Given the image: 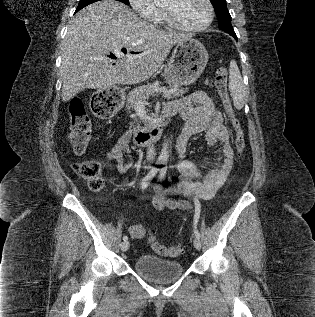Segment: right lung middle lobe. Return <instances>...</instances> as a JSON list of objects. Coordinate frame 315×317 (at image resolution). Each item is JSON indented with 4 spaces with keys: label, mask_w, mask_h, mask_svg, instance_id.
Segmentation results:
<instances>
[{
    "label": "right lung middle lobe",
    "mask_w": 315,
    "mask_h": 317,
    "mask_svg": "<svg viewBox=\"0 0 315 317\" xmlns=\"http://www.w3.org/2000/svg\"><path fill=\"white\" fill-rule=\"evenodd\" d=\"M97 1H100V0H80L76 11H79L80 9L84 8L85 6H87L91 3L97 2ZM116 1L123 2L126 5L129 4V0H116Z\"/></svg>",
    "instance_id": "1"
}]
</instances>
